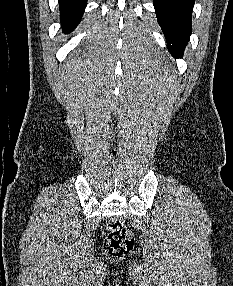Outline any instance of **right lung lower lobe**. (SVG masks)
<instances>
[{
	"mask_svg": "<svg viewBox=\"0 0 233 286\" xmlns=\"http://www.w3.org/2000/svg\"><path fill=\"white\" fill-rule=\"evenodd\" d=\"M87 0H59L63 32H71L80 22Z\"/></svg>",
	"mask_w": 233,
	"mask_h": 286,
	"instance_id": "1",
	"label": "right lung lower lobe"
}]
</instances>
